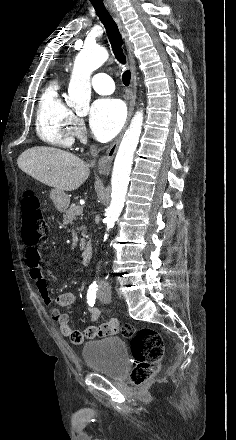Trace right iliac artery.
Listing matches in <instances>:
<instances>
[{"mask_svg":"<svg viewBox=\"0 0 236 440\" xmlns=\"http://www.w3.org/2000/svg\"><path fill=\"white\" fill-rule=\"evenodd\" d=\"M97 287L90 285L88 292H87V303L89 304V306L93 307L95 304V300H96V294H97Z\"/></svg>","mask_w":236,"mask_h":440,"instance_id":"1","label":"right iliac artery"}]
</instances>
